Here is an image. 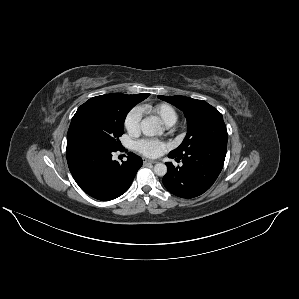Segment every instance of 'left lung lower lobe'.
Segmentation results:
<instances>
[{
    "label": "left lung lower lobe",
    "mask_w": 299,
    "mask_h": 299,
    "mask_svg": "<svg viewBox=\"0 0 299 299\" xmlns=\"http://www.w3.org/2000/svg\"><path fill=\"white\" fill-rule=\"evenodd\" d=\"M227 143H212L196 148L189 153L170 158L182 160L181 167H175L171 162L166 163L167 174L163 184L172 194L182 198H194L206 192L220 174L225 156Z\"/></svg>",
    "instance_id": "obj_1"
}]
</instances>
